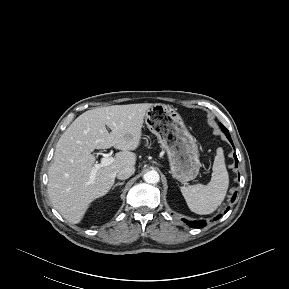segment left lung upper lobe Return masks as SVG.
<instances>
[{
    "instance_id": "1",
    "label": "left lung upper lobe",
    "mask_w": 289,
    "mask_h": 289,
    "mask_svg": "<svg viewBox=\"0 0 289 289\" xmlns=\"http://www.w3.org/2000/svg\"><path fill=\"white\" fill-rule=\"evenodd\" d=\"M219 125L224 133H228V130L221 123H219Z\"/></svg>"
}]
</instances>
